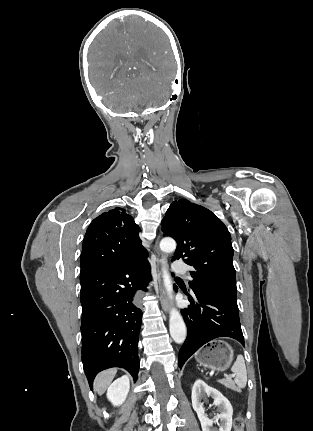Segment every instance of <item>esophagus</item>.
Here are the masks:
<instances>
[{
  "instance_id": "1",
  "label": "esophagus",
  "mask_w": 313,
  "mask_h": 431,
  "mask_svg": "<svg viewBox=\"0 0 313 431\" xmlns=\"http://www.w3.org/2000/svg\"><path fill=\"white\" fill-rule=\"evenodd\" d=\"M158 275H159V283H160V300H161V306H162V309L165 312H168L169 311V303H168V299L166 297V294H165L164 290L161 287V273L159 272Z\"/></svg>"
}]
</instances>
